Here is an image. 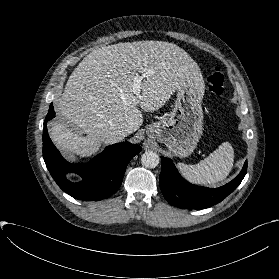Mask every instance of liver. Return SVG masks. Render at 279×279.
I'll use <instances>...</instances> for the list:
<instances>
[{
  "mask_svg": "<svg viewBox=\"0 0 279 279\" xmlns=\"http://www.w3.org/2000/svg\"><path fill=\"white\" fill-rule=\"evenodd\" d=\"M137 73L147 75L141 98L133 90ZM184 85L194 86L201 98L205 85L200 68L174 43L147 40L96 49L78 64L54 101L67 124L52 123L51 139L66 155L92 156L103 144L122 141L123 128L137 131L142 111L158 110Z\"/></svg>",
  "mask_w": 279,
  "mask_h": 279,
  "instance_id": "1",
  "label": "liver"
}]
</instances>
